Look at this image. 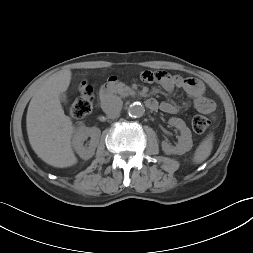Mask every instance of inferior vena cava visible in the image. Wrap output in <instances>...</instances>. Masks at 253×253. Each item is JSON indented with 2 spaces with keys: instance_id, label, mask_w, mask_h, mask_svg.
<instances>
[{
  "instance_id": "obj_1",
  "label": "inferior vena cava",
  "mask_w": 253,
  "mask_h": 253,
  "mask_svg": "<svg viewBox=\"0 0 253 253\" xmlns=\"http://www.w3.org/2000/svg\"><path fill=\"white\" fill-rule=\"evenodd\" d=\"M123 102L118 97H112L106 101H103L101 104L102 110L110 115L117 116L122 109Z\"/></svg>"
}]
</instances>
